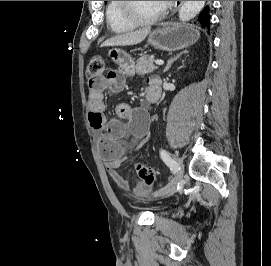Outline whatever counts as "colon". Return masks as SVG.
Returning <instances> with one entry per match:
<instances>
[{"instance_id": "obj_1", "label": "colon", "mask_w": 271, "mask_h": 266, "mask_svg": "<svg viewBox=\"0 0 271 266\" xmlns=\"http://www.w3.org/2000/svg\"><path fill=\"white\" fill-rule=\"evenodd\" d=\"M105 69L104 61L99 56L90 58L86 70V76L89 78L99 76ZM135 171L138 178L145 184L151 185L156 181V173L153 168L144 164L137 163L135 165Z\"/></svg>"}]
</instances>
